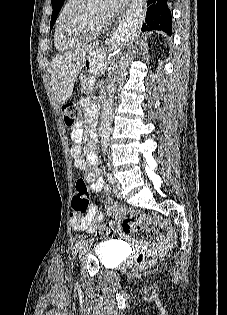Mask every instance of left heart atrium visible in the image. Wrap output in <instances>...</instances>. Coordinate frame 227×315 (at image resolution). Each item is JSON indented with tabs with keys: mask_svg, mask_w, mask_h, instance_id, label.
<instances>
[{
	"mask_svg": "<svg viewBox=\"0 0 227 315\" xmlns=\"http://www.w3.org/2000/svg\"><path fill=\"white\" fill-rule=\"evenodd\" d=\"M100 13L105 23L111 22L123 9L127 0H99Z\"/></svg>",
	"mask_w": 227,
	"mask_h": 315,
	"instance_id": "left-heart-atrium-1",
	"label": "left heart atrium"
}]
</instances>
